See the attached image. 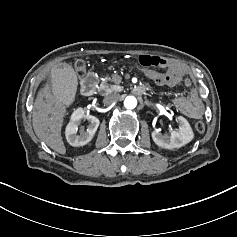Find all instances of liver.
I'll list each match as a JSON object with an SVG mask.
<instances>
[{"instance_id":"6515ba94","label":"liver","mask_w":237,"mask_h":237,"mask_svg":"<svg viewBox=\"0 0 237 237\" xmlns=\"http://www.w3.org/2000/svg\"><path fill=\"white\" fill-rule=\"evenodd\" d=\"M45 91V95L39 92L34 103L36 111L33 113V128L36 136L51 149L65 154L66 148L61 137V127L66 109L64 105L56 101L48 89Z\"/></svg>"}]
</instances>
